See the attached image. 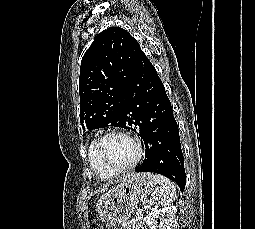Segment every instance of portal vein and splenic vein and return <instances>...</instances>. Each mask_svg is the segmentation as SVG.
<instances>
[{"mask_svg": "<svg viewBox=\"0 0 255 229\" xmlns=\"http://www.w3.org/2000/svg\"><path fill=\"white\" fill-rule=\"evenodd\" d=\"M137 212L142 215V210L138 209Z\"/></svg>", "mask_w": 255, "mask_h": 229, "instance_id": "obj_1", "label": "portal vein and splenic vein"}]
</instances>
